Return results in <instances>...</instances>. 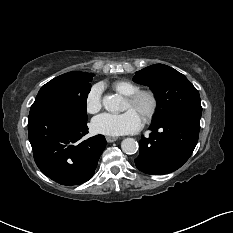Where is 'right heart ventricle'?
<instances>
[{
  "label": "right heart ventricle",
  "instance_id": "obj_1",
  "mask_svg": "<svg viewBox=\"0 0 233 233\" xmlns=\"http://www.w3.org/2000/svg\"><path fill=\"white\" fill-rule=\"evenodd\" d=\"M112 88L119 94L127 97L138 91L140 87L128 80H119L113 83Z\"/></svg>",
  "mask_w": 233,
  "mask_h": 233
}]
</instances>
